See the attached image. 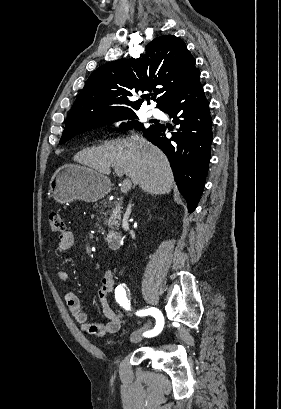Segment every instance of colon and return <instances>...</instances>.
<instances>
[{
    "label": "colon",
    "mask_w": 281,
    "mask_h": 409,
    "mask_svg": "<svg viewBox=\"0 0 281 409\" xmlns=\"http://www.w3.org/2000/svg\"><path fill=\"white\" fill-rule=\"evenodd\" d=\"M48 220L51 227V230L57 234H64L67 227L66 222L64 221L60 212L56 210H49Z\"/></svg>",
    "instance_id": "5ec220e1"
}]
</instances>
